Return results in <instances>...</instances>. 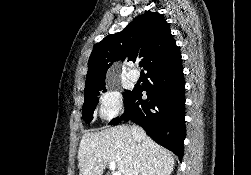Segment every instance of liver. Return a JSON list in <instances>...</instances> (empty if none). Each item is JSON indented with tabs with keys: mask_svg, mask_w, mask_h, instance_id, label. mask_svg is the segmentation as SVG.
I'll list each match as a JSON object with an SVG mask.
<instances>
[{
	"mask_svg": "<svg viewBox=\"0 0 251 175\" xmlns=\"http://www.w3.org/2000/svg\"><path fill=\"white\" fill-rule=\"evenodd\" d=\"M77 157L79 175H102L110 161H115L123 175H133L137 159L138 175H170L175 163L171 151L155 143L144 131L141 137H134L128 125L84 133Z\"/></svg>",
	"mask_w": 251,
	"mask_h": 175,
	"instance_id": "obj_1",
	"label": "liver"
}]
</instances>
